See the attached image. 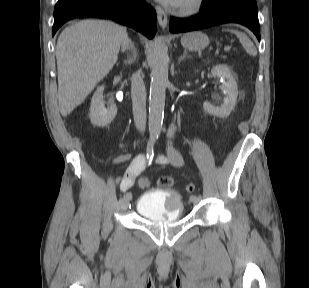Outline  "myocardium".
I'll return each instance as SVG.
<instances>
[{"label":"myocardium","mask_w":309,"mask_h":288,"mask_svg":"<svg viewBox=\"0 0 309 288\" xmlns=\"http://www.w3.org/2000/svg\"><path fill=\"white\" fill-rule=\"evenodd\" d=\"M204 6V0H188L177 6L176 13L180 15H194L199 13Z\"/></svg>","instance_id":"obj_1"}]
</instances>
